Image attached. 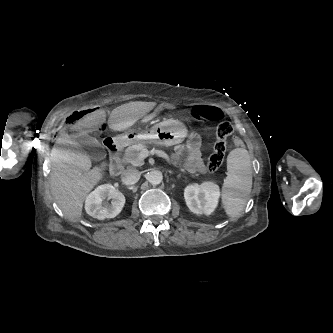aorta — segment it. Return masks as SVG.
Returning a JSON list of instances; mask_svg holds the SVG:
<instances>
[{"label": "aorta", "mask_w": 333, "mask_h": 333, "mask_svg": "<svg viewBox=\"0 0 333 333\" xmlns=\"http://www.w3.org/2000/svg\"><path fill=\"white\" fill-rule=\"evenodd\" d=\"M147 179L152 185H158L162 182L163 176L160 171L153 170L148 173Z\"/></svg>", "instance_id": "aorta-1"}]
</instances>
